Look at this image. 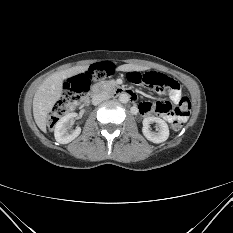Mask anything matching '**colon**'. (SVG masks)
I'll return each instance as SVG.
<instances>
[{
	"label": "colon",
	"mask_w": 233,
	"mask_h": 233,
	"mask_svg": "<svg viewBox=\"0 0 233 233\" xmlns=\"http://www.w3.org/2000/svg\"><path fill=\"white\" fill-rule=\"evenodd\" d=\"M113 66L111 63H101L93 65L88 71L70 78L65 84L62 97L54 105L51 114L48 117V126L53 128L58 120L76 105L84 102L90 92V86L93 80H102L112 74ZM127 80L134 84H141L146 87L156 88L158 90H168L175 87V82L166 76L155 73L130 72L126 75ZM156 107H160L156 103ZM191 103L186 97H183L175 108L180 117H187L190 113ZM171 128L179 131L182 128V120L176 118L171 122Z\"/></svg>",
	"instance_id": "colon-1"
}]
</instances>
